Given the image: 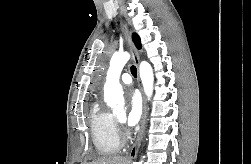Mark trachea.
I'll list each match as a JSON object with an SVG mask.
<instances>
[{"mask_svg":"<svg viewBox=\"0 0 251 164\" xmlns=\"http://www.w3.org/2000/svg\"><path fill=\"white\" fill-rule=\"evenodd\" d=\"M131 73H132V75L134 76V77H137V69H136V67L133 65V66H131Z\"/></svg>","mask_w":251,"mask_h":164,"instance_id":"3493384b","label":"trachea"}]
</instances>
